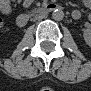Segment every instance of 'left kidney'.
Masks as SVG:
<instances>
[{
    "label": "left kidney",
    "mask_w": 91,
    "mask_h": 91,
    "mask_svg": "<svg viewBox=\"0 0 91 91\" xmlns=\"http://www.w3.org/2000/svg\"><path fill=\"white\" fill-rule=\"evenodd\" d=\"M84 40L87 45L91 44V30L89 28L84 31Z\"/></svg>",
    "instance_id": "1"
}]
</instances>
